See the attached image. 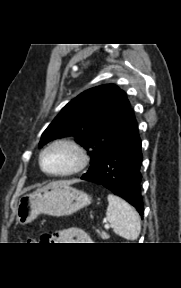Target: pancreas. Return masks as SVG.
<instances>
[{"mask_svg": "<svg viewBox=\"0 0 181 288\" xmlns=\"http://www.w3.org/2000/svg\"><path fill=\"white\" fill-rule=\"evenodd\" d=\"M97 233L102 239H108L109 238V235L105 231H97Z\"/></svg>", "mask_w": 181, "mask_h": 288, "instance_id": "cf45deb5", "label": "pancreas"}]
</instances>
